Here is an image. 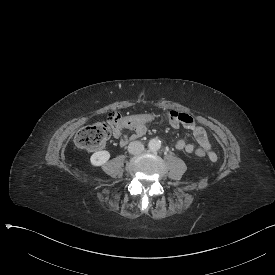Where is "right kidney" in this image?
<instances>
[{
  "mask_svg": "<svg viewBox=\"0 0 275 275\" xmlns=\"http://www.w3.org/2000/svg\"><path fill=\"white\" fill-rule=\"evenodd\" d=\"M110 158L108 151H98L92 154L90 161L93 166H101L106 163Z\"/></svg>",
  "mask_w": 275,
  "mask_h": 275,
  "instance_id": "1",
  "label": "right kidney"
}]
</instances>
